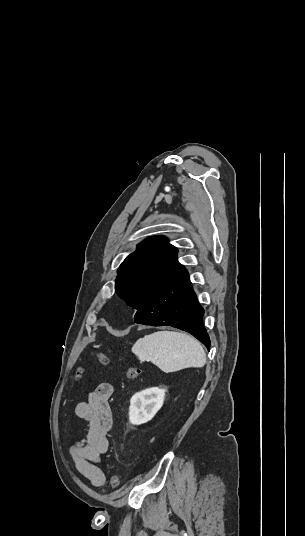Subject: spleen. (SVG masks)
Masks as SVG:
<instances>
[{
  "label": "spleen",
  "mask_w": 305,
  "mask_h": 536,
  "mask_svg": "<svg viewBox=\"0 0 305 536\" xmlns=\"http://www.w3.org/2000/svg\"><path fill=\"white\" fill-rule=\"evenodd\" d=\"M132 354L140 362H152L162 372H178L184 368H202L206 354L199 342L180 332H155L139 338Z\"/></svg>",
  "instance_id": "spleen-1"
}]
</instances>
